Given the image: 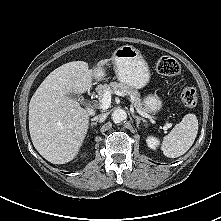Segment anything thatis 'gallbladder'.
I'll return each mask as SVG.
<instances>
[{"mask_svg": "<svg viewBox=\"0 0 221 221\" xmlns=\"http://www.w3.org/2000/svg\"><path fill=\"white\" fill-rule=\"evenodd\" d=\"M69 98L73 99V100H76L78 102H81L82 101V98L80 95L78 94H74V93H70L67 95Z\"/></svg>", "mask_w": 221, "mask_h": 221, "instance_id": "bac80fb5", "label": "gallbladder"}]
</instances>
